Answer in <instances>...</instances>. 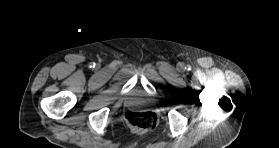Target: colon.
Instances as JSON below:
<instances>
[{"label":"colon","instance_id":"5ec220e1","mask_svg":"<svg viewBox=\"0 0 279 148\" xmlns=\"http://www.w3.org/2000/svg\"><path fill=\"white\" fill-rule=\"evenodd\" d=\"M127 124L136 130H150L157 123L156 115L151 111H130L125 115Z\"/></svg>","mask_w":279,"mask_h":148}]
</instances>
